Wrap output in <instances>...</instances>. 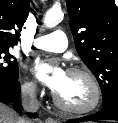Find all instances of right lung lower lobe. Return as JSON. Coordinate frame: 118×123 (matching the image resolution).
I'll list each match as a JSON object with an SVG mask.
<instances>
[{"instance_id": "right-lung-lower-lobe-1", "label": "right lung lower lobe", "mask_w": 118, "mask_h": 123, "mask_svg": "<svg viewBox=\"0 0 118 123\" xmlns=\"http://www.w3.org/2000/svg\"><path fill=\"white\" fill-rule=\"evenodd\" d=\"M20 94V83L15 82H0V102L11 103L18 99ZM37 117V114H32Z\"/></svg>"}]
</instances>
